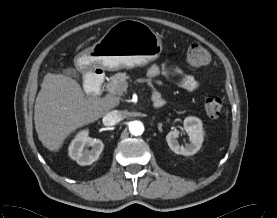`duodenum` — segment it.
Instances as JSON below:
<instances>
[{
    "mask_svg": "<svg viewBox=\"0 0 277 218\" xmlns=\"http://www.w3.org/2000/svg\"><path fill=\"white\" fill-rule=\"evenodd\" d=\"M104 82V72L101 69H94L86 75L85 88L90 96H98ZM163 101L160 98L154 100V105L160 107Z\"/></svg>",
    "mask_w": 277,
    "mask_h": 218,
    "instance_id": "duodenum-1",
    "label": "duodenum"
}]
</instances>
